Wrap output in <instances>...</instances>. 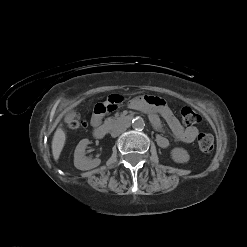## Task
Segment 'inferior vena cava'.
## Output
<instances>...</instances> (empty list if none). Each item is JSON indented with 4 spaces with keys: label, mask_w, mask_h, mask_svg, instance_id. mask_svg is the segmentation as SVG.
<instances>
[{
    "label": "inferior vena cava",
    "mask_w": 247,
    "mask_h": 247,
    "mask_svg": "<svg viewBox=\"0 0 247 247\" xmlns=\"http://www.w3.org/2000/svg\"><path fill=\"white\" fill-rule=\"evenodd\" d=\"M126 130L125 126H116L111 130V136L117 137Z\"/></svg>",
    "instance_id": "obj_1"
}]
</instances>
